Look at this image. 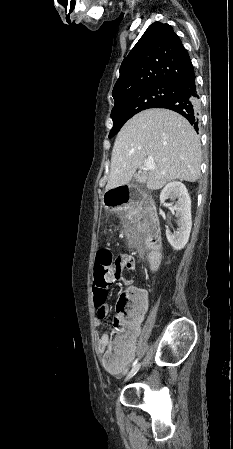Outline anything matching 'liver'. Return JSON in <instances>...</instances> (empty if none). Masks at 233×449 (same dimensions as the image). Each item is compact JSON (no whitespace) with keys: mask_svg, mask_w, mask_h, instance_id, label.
I'll use <instances>...</instances> for the list:
<instances>
[{"mask_svg":"<svg viewBox=\"0 0 233 449\" xmlns=\"http://www.w3.org/2000/svg\"><path fill=\"white\" fill-rule=\"evenodd\" d=\"M153 160L155 168L145 169ZM201 144L186 118L167 109L144 110L129 119L118 133L111 156L106 191L128 184L136 169V181L148 189L168 182H195L200 177Z\"/></svg>","mask_w":233,"mask_h":449,"instance_id":"obj_1","label":"liver"}]
</instances>
